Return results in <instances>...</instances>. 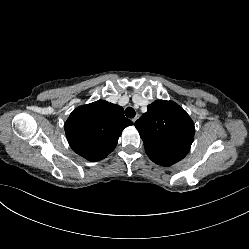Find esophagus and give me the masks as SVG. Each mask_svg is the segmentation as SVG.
Returning <instances> with one entry per match:
<instances>
[{
    "mask_svg": "<svg viewBox=\"0 0 249 249\" xmlns=\"http://www.w3.org/2000/svg\"><path fill=\"white\" fill-rule=\"evenodd\" d=\"M138 118H139V115L137 114V115L132 119L133 123H135V122L137 121Z\"/></svg>",
    "mask_w": 249,
    "mask_h": 249,
    "instance_id": "34e87169",
    "label": "esophagus"
}]
</instances>
